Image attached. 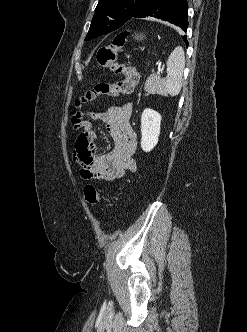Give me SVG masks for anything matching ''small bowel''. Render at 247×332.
<instances>
[{
	"instance_id": "obj_1",
	"label": "small bowel",
	"mask_w": 247,
	"mask_h": 332,
	"mask_svg": "<svg viewBox=\"0 0 247 332\" xmlns=\"http://www.w3.org/2000/svg\"><path fill=\"white\" fill-rule=\"evenodd\" d=\"M131 104L112 106L106 112H91L89 117L104 124L113 141L106 153L97 148L96 129L88 121L80 124L82 132L75 143V159L81 166L80 175L85 181L100 184L113 183L124 174L137 168L133 156L137 149V135L130 124Z\"/></svg>"
}]
</instances>
